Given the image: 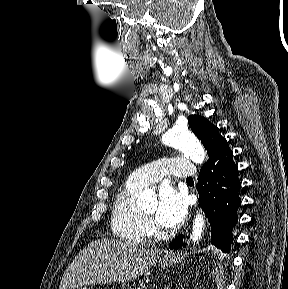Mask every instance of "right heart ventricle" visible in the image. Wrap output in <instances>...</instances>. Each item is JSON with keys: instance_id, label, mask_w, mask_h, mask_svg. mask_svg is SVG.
<instances>
[{"instance_id": "right-heart-ventricle-1", "label": "right heart ventricle", "mask_w": 288, "mask_h": 289, "mask_svg": "<svg viewBox=\"0 0 288 289\" xmlns=\"http://www.w3.org/2000/svg\"><path fill=\"white\" fill-rule=\"evenodd\" d=\"M141 189L127 181L113 200L112 231L117 238L133 245L143 244L148 234L147 221L136 205V197Z\"/></svg>"}]
</instances>
